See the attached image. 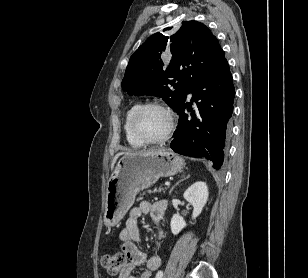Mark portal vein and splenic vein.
<instances>
[{
	"label": "portal vein and splenic vein",
	"mask_w": 308,
	"mask_h": 278,
	"mask_svg": "<svg viewBox=\"0 0 308 278\" xmlns=\"http://www.w3.org/2000/svg\"><path fill=\"white\" fill-rule=\"evenodd\" d=\"M170 185V182H165V186H169Z\"/></svg>",
	"instance_id": "obj_1"
}]
</instances>
